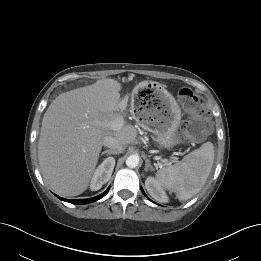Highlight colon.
<instances>
[{"label":"colon","instance_id":"colon-1","mask_svg":"<svg viewBox=\"0 0 261 261\" xmlns=\"http://www.w3.org/2000/svg\"><path fill=\"white\" fill-rule=\"evenodd\" d=\"M178 100L188 113V118L181 129V136L186 139H202L211 130L203 98L184 87L178 90Z\"/></svg>","mask_w":261,"mask_h":261}]
</instances>
